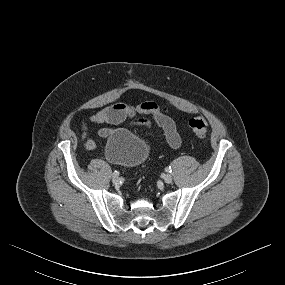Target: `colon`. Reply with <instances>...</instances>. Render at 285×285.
Listing matches in <instances>:
<instances>
[{"instance_id": "1", "label": "colon", "mask_w": 285, "mask_h": 285, "mask_svg": "<svg viewBox=\"0 0 285 285\" xmlns=\"http://www.w3.org/2000/svg\"><path fill=\"white\" fill-rule=\"evenodd\" d=\"M189 126L197 138L203 139L206 136L208 124L203 117L199 116L192 118L189 121Z\"/></svg>"}]
</instances>
